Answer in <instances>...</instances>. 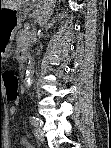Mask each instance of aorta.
<instances>
[{"label":"aorta","instance_id":"obj_1","mask_svg":"<svg viewBox=\"0 0 111 148\" xmlns=\"http://www.w3.org/2000/svg\"><path fill=\"white\" fill-rule=\"evenodd\" d=\"M55 0H42L40 5L36 10V20L38 25L43 28L45 24L48 22L52 10L54 7ZM34 62H29V65L26 70V77L25 80L28 85L32 83L33 73H34Z\"/></svg>","mask_w":111,"mask_h":148}]
</instances>
